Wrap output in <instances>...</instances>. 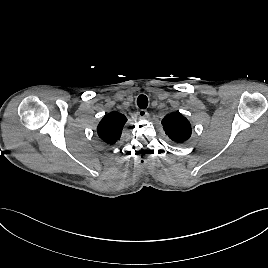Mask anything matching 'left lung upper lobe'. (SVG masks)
Masks as SVG:
<instances>
[{"label": "left lung upper lobe", "instance_id": "obj_1", "mask_svg": "<svg viewBox=\"0 0 268 268\" xmlns=\"http://www.w3.org/2000/svg\"><path fill=\"white\" fill-rule=\"evenodd\" d=\"M162 125L167 136L177 144L186 142L191 136V125L179 112L167 114Z\"/></svg>", "mask_w": 268, "mask_h": 268}]
</instances>
